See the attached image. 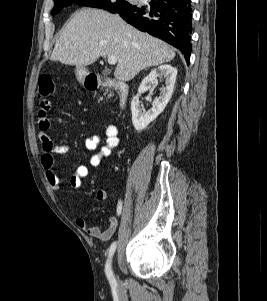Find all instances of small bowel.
Listing matches in <instances>:
<instances>
[{
    "label": "small bowel",
    "instance_id": "c3829d8e",
    "mask_svg": "<svg viewBox=\"0 0 267 301\" xmlns=\"http://www.w3.org/2000/svg\"><path fill=\"white\" fill-rule=\"evenodd\" d=\"M52 108V102L48 98L41 99L37 114L38 137L42 142L43 154L41 156V165L44 169L46 179L52 190L57 191L60 188V179L55 172L54 158L56 155H63L69 151V147L64 144H55L48 136L50 126L49 111ZM105 139L94 134L85 140V148L89 151L98 150L89 160V165H79L75 172L69 178V185L72 189H79L83 178L89 173V167H97L102 159L111 155L113 149L118 145V128L114 124H106L104 127ZM96 198L99 201L107 199V193L104 190H98ZM118 214V213H117ZM76 225L88 236L108 241L115 233L118 226V217L111 216L103 227L90 225L83 217L76 219Z\"/></svg>",
    "mask_w": 267,
    "mask_h": 301
}]
</instances>
